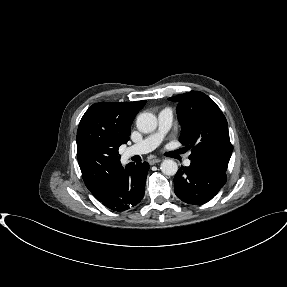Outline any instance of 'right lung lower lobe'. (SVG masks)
Segmentation results:
<instances>
[{
  "label": "right lung lower lobe",
  "mask_w": 287,
  "mask_h": 287,
  "mask_svg": "<svg viewBox=\"0 0 287 287\" xmlns=\"http://www.w3.org/2000/svg\"><path fill=\"white\" fill-rule=\"evenodd\" d=\"M149 164L129 163L110 175L95 195L108 209L121 212L137 205L145 193V182Z\"/></svg>",
  "instance_id": "right-lung-lower-lobe-1"
}]
</instances>
